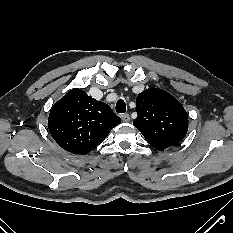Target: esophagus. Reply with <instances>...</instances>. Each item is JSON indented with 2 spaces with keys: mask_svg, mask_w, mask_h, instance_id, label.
<instances>
[{
  "mask_svg": "<svg viewBox=\"0 0 233 233\" xmlns=\"http://www.w3.org/2000/svg\"><path fill=\"white\" fill-rule=\"evenodd\" d=\"M121 118L124 122H129L130 121V116L129 114L125 113L121 115Z\"/></svg>",
  "mask_w": 233,
  "mask_h": 233,
  "instance_id": "obj_1",
  "label": "esophagus"
}]
</instances>
